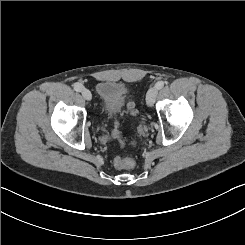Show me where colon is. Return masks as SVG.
Returning <instances> with one entry per match:
<instances>
[{
    "instance_id": "obj_1",
    "label": "colon",
    "mask_w": 245,
    "mask_h": 245,
    "mask_svg": "<svg viewBox=\"0 0 245 245\" xmlns=\"http://www.w3.org/2000/svg\"><path fill=\"white\" fill-rule=\"evenodd\" d=\"M127 110L132 116L137 115V110L134 106L133 103H128L127 104ZM113 135L118 138L119 132L118 129L115 128L113 131ZM123 143V142H122ZM115 166L119 169H130L134 166V160L131 158H126V157H117L114 161Z\"/></svg>"
}]
</instances>
